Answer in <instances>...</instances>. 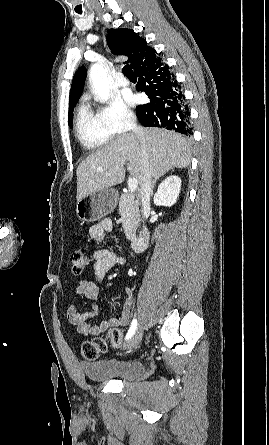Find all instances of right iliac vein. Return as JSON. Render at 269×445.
Masks as SVG:
<instances>
[{
	"label": "right iliac vein",
	"mask_w": 269,
	"mask_h": 445,
	"mask_svg": "<svg viewBox=\"0 0 269 445\" xmlns=\"http://www.w3.org/2000/svg\"><path fill=\"white\" fill-rule=\"evenodd\" d=\"M142 336H143V331L142 328L139 327L135 333L132 335V337L130 338V340L127 342L125 348L126 349H133L136 346H138V344L141 342L142 340Z\"/></svg>",
	"instance_id": "obj_1"
}]
</instances>
